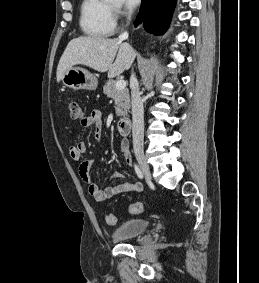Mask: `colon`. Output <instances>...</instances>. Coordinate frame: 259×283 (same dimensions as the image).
Masks as SVG:
<instances>
[{
	"label": "colon",
	"mask_w": 259,
	"mask_h": 283,
	"mask_svg": "<svg viewBox=\"0 0 259 283\" xmlns=\"http://www.w3.org/2000/svg\"><path fill=\"white\" fill-rule=\"evenodd\" d=\"M68 107H69V112H70V116H71L72 119L83 120L84 114H83V110H82L81 106L79 105V103H77L75 101H71L69 103ZM143 210H144L143 205L139 202L131 203L129 205V212L131 214H139V213L143 212ZM106 223L110 226L116 224V218H115L114 214L109 213V214L106 215Z\"/></svg>",
	"instance_id": "1"
}]
</instances>
